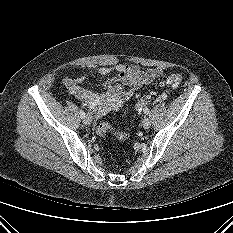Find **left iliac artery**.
I'll list each match as a JSON object with an SVG mask.
<instances>
[{
	"label": "left iliac artery",
	"mask_w": 233,
	"mask_h": 233,
	"mask_svg": "<svg viewBox=\"0 0 233 233\" xmlns=\"http://www.w3.org/2000/svg\"><path fill=\"white\" fill-rule=\"evenodd\" d=\"M149 112H150V111H149L148 108H145V109H144V113H145V114H149Z\"/></svg>",
	"instance_id": "obj_1"
}]
</instances>
